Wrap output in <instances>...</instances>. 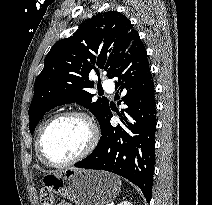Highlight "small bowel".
Wrapping results in <instances>:
<instances>
[{
    "label": "small bowel",
    "mask_w": 212,
    "mask_h": 205,
    "mask_svg": "<svg viewBox=\"0 0 212 205\" xmlns=\"http://www.w3.org/2000/svg\"><path fill=\"white\" fill-rule=\"evenodd\" d=\"M58 205H71L69 203H59Z\"/></svg>",
    "instance_id": "c3829d8e"
}]
</instances>
